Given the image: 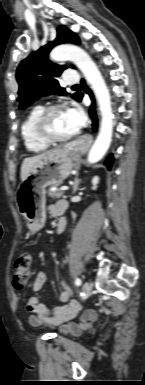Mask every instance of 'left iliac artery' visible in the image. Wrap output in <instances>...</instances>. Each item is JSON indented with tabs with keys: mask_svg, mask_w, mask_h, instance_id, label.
I'll list each match as a JSON object with an SVG mask.
<instances>
[{
	"mask_svg": "<svg viewBox=\"0 0 145 385\" xmlns=\"http://www.w3.org/2000/svg\"><path fill=\"white\" fill-rule=\"evenodd\" d=\"M75 284H76L77 286H80V285H81V279H80V278H76V279H75Z\"/></svg>",
	"mask_w": 145,
	"mask_h": 385,
	"instance_id": "obj_1",
	"label": "left iliac artery"
}]
</instances>
